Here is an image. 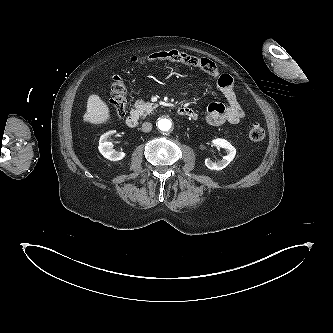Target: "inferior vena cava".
Here are the masks:
<instances>
[{
	"label": "inferior vena cava",
	"instance_id": "1",
	"mask_svg": "<svg viewBox=\"0 0 333 333\" xmlns=\"http://www.w3.org/2000/svg\"><path fill=\"white\" fill-rule=\"evenodd\" d=\"M152 130V124L150 122H144L142 124V131L143 132H150Z\"/></svg>",
	"mask_w": 333,
	"mask_h": 333
}]
</instances>
